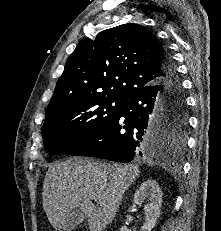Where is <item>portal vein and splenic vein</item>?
<instances>
[{
  "instance_id": "18ae733b",
  "label": "portal vein and splenic vein",
  "mask_w": 221,
  "mask_h": 231,
  "mask_svg": "<svg viewBox=\"0 0 221 231\" xmlns=\"http://www.w3.org/2000/svg\"><path fill=\"white\" fill-rule=\"evenodd\" d=\"M95 201H96L97 203H102L101 200H97V199H96Z\"/></svg>"
}]
</instances>
